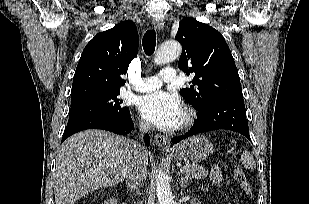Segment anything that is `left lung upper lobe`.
<instances>
[{
    "label": "left lung upper lobe",
    "mask_w": 309,
    "mask_h": 204,
    "mask_svg": "<svg viewBox=\"0 0 309 204\" xmlns=\"http://www.w3.org/2000/svg\"><path fill=\"white\" fill-rule=\"evenodd\" d=\"M176 39L182 44L179 68L195 74L189 88L180 90L197 111L218 100L243 99L238 71L223 36L192 17L179 23Z\"/></svg>",
    "instance_id": "1"
}]
</instances>
